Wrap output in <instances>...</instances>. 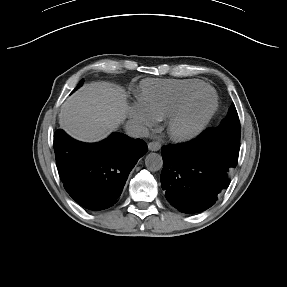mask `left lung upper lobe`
Wrapping results in <instances>:
<instances>
[{"instance_id":"5c2ea615","label":"left lung upper lobe","mask_w":287,"mask_h":287,"mask_svg":"<svg viewBox=\"0 0 287 287\" xmlns=\"http://www.w3.org/2000/svg\"><path fill=\"white\" fill-rule=\"evenodd\" d=\"M215 131L229 139L240 142V122L234 104L231 105L227 117L215 128Z\"/></svg>"}]
</instances>
